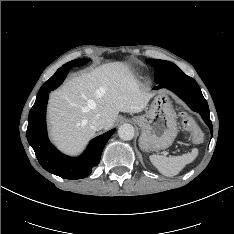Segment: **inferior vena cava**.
<instances>
[{
  "mask_svg": "<svg viewBox=\"0 0 234 234\" xmlns=\"http://www.w3.org/2000/svg\"><path fill=\"white\" fill-rule=\"evenodd\" d=\"M105 127V119L100 115L96 114L91 119V128L94 131H99Z\"/></svg>",
  "mask_w": 234,
  "mask_h": 234,
  "instance_id": "inferior-vena-cava-1",
  "label": "inferior vena cava"
}]
</instances>
